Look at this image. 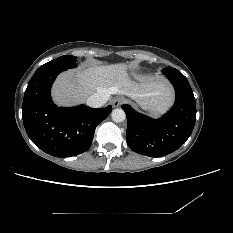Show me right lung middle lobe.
<instances>
[{
	"mask_svg": "<svg viewBox=\"0 0 233 233\" xmlns=\"http://www.w3.org/2000/svg\"><path fill=\"white\" fill-rule=\"evenodd\" d=\"M77 57L71 55L61 56L57 59H54L48 63L43 64L40 66L36 72L46 71L54 68H62L64 70L69 68L77 67L76 64Z\"/></svg>",
	"mask_w": 233,
	"mask_h": 233,
	"instance_id": "obj_1",
	"label": "right lung middle lobe"
}]
</instances>
